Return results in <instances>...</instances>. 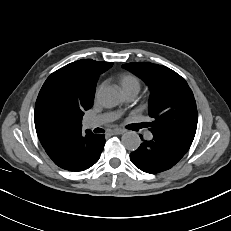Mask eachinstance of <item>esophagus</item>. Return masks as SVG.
I'll return each mask as SVG.
<instances>
[{"label":"esophagus","instance_id":"obj_1","mask_svg":"<svg viewBox=\"0 0 231 231\" xmlns=\"http://www.w3.org/2000/svg\"><path fill=\"white\" fill-rule=\"evenodd\" d=\"M124 133V130L123 129H115V130H112L110 131V135H120V134H123Z\"/></svg>","mask_w":231,"mask_h":231}]
</instances>
